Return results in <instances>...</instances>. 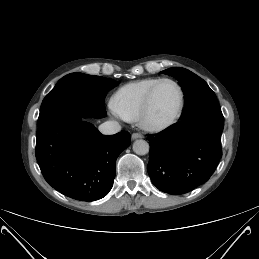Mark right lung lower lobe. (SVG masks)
<instances>
[{"mask_svg":"<svg viewBox=\"0 0 259 259\" xmlns=\"http://www.w3.org/2000/svg\"><path fill=\"white\" fill-rule=\"evenodd\" d=\"M86 117L64 113L38 123L36 158L45 180L79 201L105 197L113 186L116 159L130 133L102 135Z\"/></svg>","mask_w":259,"mask_h":259,"instance_id":"1","label":"right lung lower lobe"}]
</instances>
